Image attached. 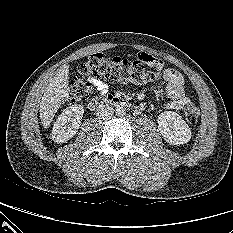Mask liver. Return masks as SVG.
<instances>
[{
    "label": "liver",
    "mask_w": 233,
    "mask_h": 233,
    "mask_svg": "<svg viewBox=\"0 0 233 233\" xmlns=\"http://www.w3.org/2000/svg\"><path fill=\"white\" fill-rule=\"evenodd\" d=\"M69 92V66L64 65L50 80L40 103V119L45 128L51 124L55 113L68 98Z\"/></svg>",
    "instance_id": "liver-1"
}]
</instances>
